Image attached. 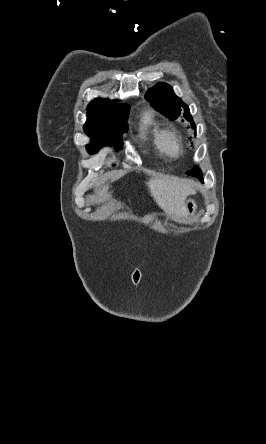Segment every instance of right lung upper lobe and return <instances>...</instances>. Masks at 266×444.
Returning a JSON list of instances; mask_svg holds the SVG:
<instances>
[{
    "label": "right lung upper lobe",
    "instance_id": "1",
    "mask_svg": "<svg viewBox=\"0 0 266 444\" xmlns=\"http://www.w3.org/2000/svg\"><path fill=\"white\" fill-rule=\"evenodd\" d=\"M111 103H116V101L109 100V99H103V98H97L88 105L87 110L91 111V110L99 108L100 106H103L106 104H111Z\"/></svg>",
    "mask_w": 266,
    "mask_h": 444
}]
</instances>
